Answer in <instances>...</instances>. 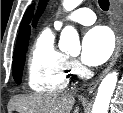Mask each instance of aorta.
<instances>
[{"mask_svg":"<svg viewBox=\"0 0 123 113\" xmlns=\"http://www.w3.org/2000/svg\"><path fill=\"white\" fill-rule=\"evenodd\" d=\"M82 0H63V7L66 11L75 9ZM59 49L72 55L80 53L79 35L72 26H66L60 35ZM118 76L114 71L109 73L100 83L98 92L92 107V113H108L110 100L113 96Z\"/></svg>","mask_w":123,"mask_h":113,"instance_id":"obj_1","label":"aorta"}]
</instances>
